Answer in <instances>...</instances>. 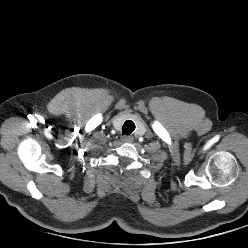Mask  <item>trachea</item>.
Instances as JSON below:
<instances>
[{
	"mask_svg": "<svg viewBox=\"0 0 248 248\" xmlns=\"http://www.w3.org/2000/svg\"><path fill=\"white\" fill-rule=\"evenodd\" d=\"M135 130V123L131 120L124 122L122 127V134L130 135Z\"/></svg>",
	"mask_w": 248,
	"mask_h": 248,
	"instance_id": "trachea-1",
	"label": "trachea"
}]
</instances>
